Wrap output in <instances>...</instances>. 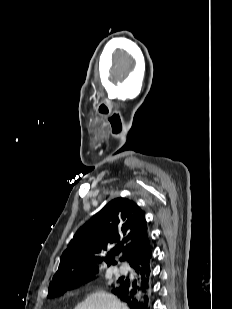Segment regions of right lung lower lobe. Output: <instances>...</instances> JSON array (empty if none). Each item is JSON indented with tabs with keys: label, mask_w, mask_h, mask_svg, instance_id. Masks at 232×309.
I'll return each instance as SVG.
<instances>
[{
	"label": "right lung lower lobe",
	"mask_w": 232,
	"mask_h": 309,
	"mask_svg": "<svg viewBox=\"0 0 232 309\" xmlns=\"http://www.w3.org/2000/svg\"><path fill=\"white\" fill-rule=\"evenodd\" d=\"M151 261L152 255L131 264L134 274L121 278L112 290L130 309H151Z\"/></svg>",
	"instance_id": "obj_1"
}]
</instances>
